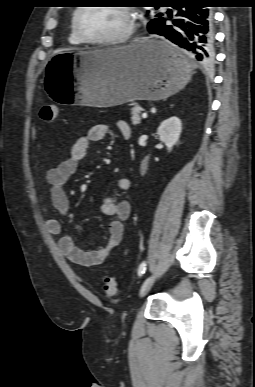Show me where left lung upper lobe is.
I'll return each mask as SVG.
<instances>
[{
  "label": "left lung upper lobe",
  "mask_w": 255,
  "mask_h": 387,
  "mask_svg": "<svg viewBox=\"0 0 255 387\" xmlns=\"http://www.w3.org/2000/svg\"><path fill=\"white\" fill-rule=\"evenodd\" d=\"M156 9L158 8V7H155ZM162 16V14H158V15H156V17H161ZM156 19V18H155ZM153 20V19H152Z\"/></svg>",
  "instance_id": "5c2ea615"
}]
</instances>
